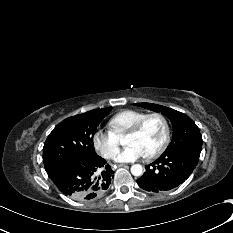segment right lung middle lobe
<instances>
[{
  "instance_id": "dd1d6c3e",
  "label": "right lung middle lobe",
  "mask_w": 233,
  "mask_h": 233,
  "mask_svg": "<svg viewBox=\"0 0 233 233\" xmlns=\"http://www.w3.org/2000/svg\"><path fill=\"white\" fill-rule=\"evenodd\" d=\"M112 107L95 109L59 123L47 137L43 147V163L49 177L70 161L98 157L93 144L96 127Z\"/></svg>"
}]
</instances>
